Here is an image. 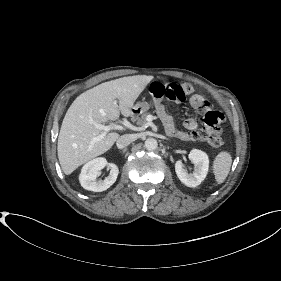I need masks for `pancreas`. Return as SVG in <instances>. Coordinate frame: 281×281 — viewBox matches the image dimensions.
<instances>
[{
  "label": "pancreas",
  "mask_w": 281,
  "mask_h": 281,
  "mask_svg": "<svg viewBox=\"0 0 281 281\" xmlns=\"http://www.w3.org/2000/svg\"><path fill=\"white\" fill-rule=\"evenodd\" d=\"M147 115H148V113L145 112V113L141 114L140 116H137L134 119V121H136L138 126L145 128L147 126V121H146Z\"/></svg>",
  "instance_id": "1"
}]
</instances>
